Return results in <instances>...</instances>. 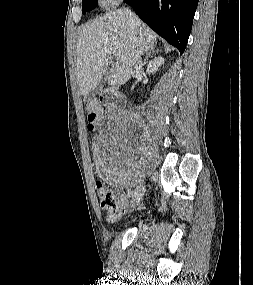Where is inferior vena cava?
I'll use <instances>...</instances> for the list:
<instances>
[{
	"label": "inferior vena cava",
	"mask_w": 253,
	"mask_h": 285,
	"mask_svg": "<svg viewBox=\"0 0 253 285\" xmlns=\"http://www.w3.org/2000/svg\"><path fill=\"white\" fill-rule=\"evenodd\" d=\"M126 13L129 17V21H130V24L132 26H135L136 25V17L135 15L132 13V11L130 9H126ZM142 57L141 55L137 56L136 57V60L133 64V67H132V76H135L136 74H138L139 72L142 71Z\"/></svg>",
	"instance_id": "inferior-vena-cava-1"
}]
</instances>
